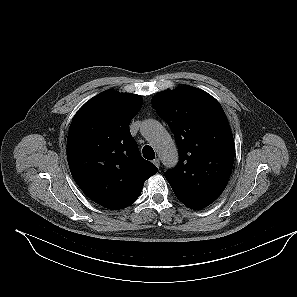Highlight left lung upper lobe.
<instances>
[{
	"mask_svg": "<svg viewBox=\"0 0 297 297\" xmlns=\"http://www.w3.org/2000/svg\"><path fill=\"white\" fill-rule=\"evenodd\" d=\"M152 106L168 123L179 150L177 166L165 173L167 181L187 207H207L224 191L234 161L233 135L221 105L185 85L158 93Z\"/></svg>",
	"mask_w": 297,
	"mask_h": 297,
	"instance_id": "1",
	"label": "left lung upper lobe"
}]
</instances>
